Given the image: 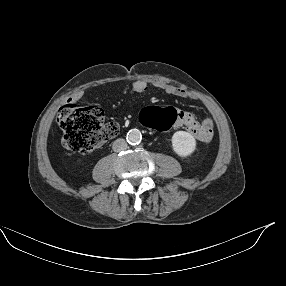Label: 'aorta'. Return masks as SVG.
Instances as JSON below:
<instances>
[{
	"label": "aorta",
	"mask_w": 286,
	"mask_h": 286,
	"mask_svg": "<svg viewBox=\"0 0 286 286\" xmlns=\"http://www.w3.org/2000/svg\"><path fill=\"white\" fill-rule=\"evenodd\" d=\"M126 138L129 144L138 145L142 140V135L138 129H132L127 133Z\"/></svg>",
	"instance_id": "aorta-1"
}]
</instances>
